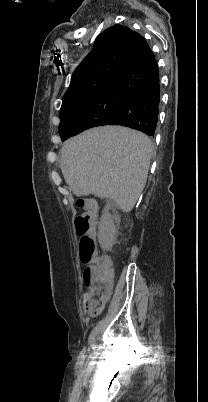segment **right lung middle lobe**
Segmentation results:
<instances>
[{
  "mask_svg": "<svg viewBox=\"0 0 208 402\" xmlns=\"http://www.w3.org/2000/svg\"><path fill=\"white\" fill-rule=\"evenodd\" d=\"M117 90L115 84L108 81L64 96L60 123L114 111L120 98Z\"/></svg>",
  "mask_w": 208,
  "mask_h": 402,
  "instance_id": "1",
  "label": "right lung middle lobe"
}]
</instances>
